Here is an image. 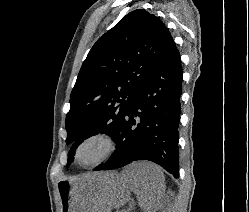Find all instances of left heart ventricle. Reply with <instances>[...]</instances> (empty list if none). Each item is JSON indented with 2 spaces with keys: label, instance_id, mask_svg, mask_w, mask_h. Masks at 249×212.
Returning a JSON list of instances; mask_svg holds the SVG:
<instances>
[{
  "label": "left heart ventricle",
  "instance_id": "left-heart-ventricle-1",
  "mask_svg": "<svg viewBox=\"0 0 249 212\" xmlns=\"http://www.w3.org/2000/svg\"><path fill=\"white\" fill-rule=\"evenodd\" d=\"M107 142L103 139H94L87 142L79 153L80 163H91L100 159L107 151Z\"/></svg>",
  "mask_w": 249,
  "mask_h": 212
}]
</instances>
